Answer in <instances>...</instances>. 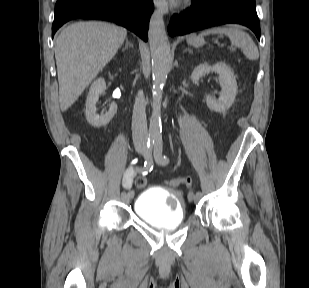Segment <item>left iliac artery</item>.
<instances>
[{
	"label": "left iliac artery",
	"mask_w": 309,
	"mask_h": 288,
	"mask_svg": "<svg viewBox=\"0 0 309 288\" xmlns=\"http://www.w3.org/2000/svg\"><path fill=\"white\" fill-rule=\"evenodd\" d=\"M154 158L155 161L160 164V165H166L169 162V159L167 156L163 154V141L161 137H158L155 139V144H154ZM193 196L201 198L202 193L198 191L196 195L192 192Z\"/></svg>",
	"instance_id": "obj_1"
}]
</instances>
